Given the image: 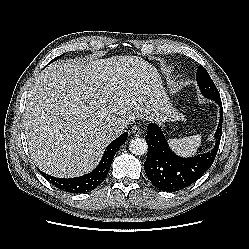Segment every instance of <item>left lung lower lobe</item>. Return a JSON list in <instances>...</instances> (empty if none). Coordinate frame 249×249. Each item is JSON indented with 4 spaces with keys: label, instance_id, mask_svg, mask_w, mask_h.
I'll return each mask as SVG.
<instances>
[{
    "label": "left lung lower lobe",
    "instance_id": "left-lung-lower-lobe-1",
    "mask_svg": "<svg viewBox=\"0 0 249 249\" xmlns=\"http://www.w3.org/2000/svg\"><path fill=\"white\" fill-rule=\"evenodd\" d=\"M215 102L221 111L220 122L214 135L216 145L205 154L189 158L179 157L169 148L163 132L157 125L150 123L147 126L145 140L148 143V154L144 169L154 186L167 192L178 191L197 181L211 167L222 135V103L221 100Z\"/></svg>",
    "mask_w": 249,
    "mask_h": 249
}]
</instances>
